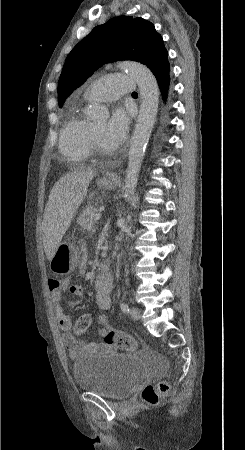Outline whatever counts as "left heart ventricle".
<instances>
[{
  "mask_svg": "<svg viewBox=\"0 0 245 450\" xmlns=\"http://www.w3.org/2000/svg\"><path fill=\"white\" fill-rule=\"evenodd\" d=\"M93 130L95 132V134L97 135V137L99 138V140L101 141V143L107 147L104 143V131L106 128V122L102 121V122H98V123H94L92 124Z\"/></svg>",
  "mask_w": 245,
  "mask_h": 450,
  "instance_id": "obj_1",
  "label": "left heart ventricle"
}]
</instances>
